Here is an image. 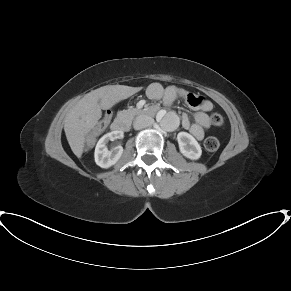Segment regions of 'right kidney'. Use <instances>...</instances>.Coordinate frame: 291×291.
<instances>
[{
  "label": "right kidney",
  "mask_w": 291,
  "mask_h": 291,
  "mask_svg": "<svg viewBox=\"0 0 291 291\" xmlns=\"http://www.w3.org/2000/svg\"><path fill=\"white\" fill-rule=\"evenodd\" d=\"M122 131H112L102 136L95 147V162L101 168H109L114 165L123 153V147L118 145L111 150H108L107 143L123 138Z\"/></svg>",
  "instance_id": "obj_1"
}]
</instances>
